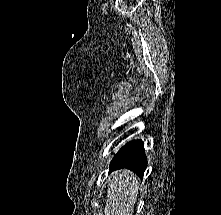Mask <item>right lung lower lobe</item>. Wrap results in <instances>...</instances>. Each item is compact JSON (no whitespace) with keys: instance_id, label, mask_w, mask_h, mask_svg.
<instances>
[{"instance_id":"1","label":"right lung lower lobe","mask_w":221,"mask_h":215,"mask_svg":"<svg viewBox=\"0 0 221 215\" xmlns=\"http://www.w3.org/2000/svg\"><path fill=\"white\" fill-rule=\"evenodd\" d=\"M147 166L143 142L134 140L123 146L114 156L110 164V170L127 168L143 177Z\"/></svg>"}]
</instances>
